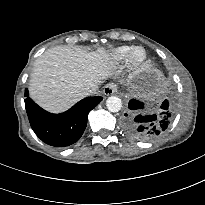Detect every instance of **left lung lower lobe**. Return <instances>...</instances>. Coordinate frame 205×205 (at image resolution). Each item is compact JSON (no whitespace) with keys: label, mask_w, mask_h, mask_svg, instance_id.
I'll return each instance as SVG.
<instances>
[{"label":"left lung lower lobe","mask_w":205,"mask_h":205,"mask_svg":"<svg viewBox=\"0 0 205 205\" xmlns=\"http://www.w3.org/2000/svg\"><path fill=\"white\" fill-rule=\"evenodd\" d=\"M129 114L123 120L124 130L133 138L150 141L162 135L169 127L173 118V106L164 100L160 108L149 115H138L137 109H143V103L134 99L129 101Z\"/></svg>","instance_id":"obj_1"}]
</instances>
